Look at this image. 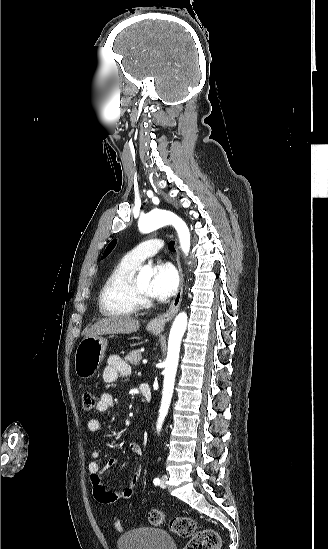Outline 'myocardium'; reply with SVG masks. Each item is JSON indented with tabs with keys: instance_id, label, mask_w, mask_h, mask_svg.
Wrapping results in <instances>:
<instances>
[{
	"instance_id": "myocardium-1",
	"label": "myocardium",
	"mask_w": 328,
	"mask_h": 549,
	"mask_svg": "<svg viewBox=\"0 0 328 549\" xmlns=\"http://www.w3.org/2000/svg\"><path fill=\"white\" fill-rule=\"evenodd\" d=\"M150 266H152L151 262L140 263V265L138 266L136 271L138 269L142 270V269L150 267ZM135 272L128 279L127 284H126V288H125V295H126L127 299L131 302V304L124 305V308H126L128 310L135 311V312H139V311H142V310H145V309L149 308L150 305H151V300H150L149 297L143 295L139 291V289L137 287V284H136V277H137L138 274H136Z\"/></svg>"
}]
</instances>
